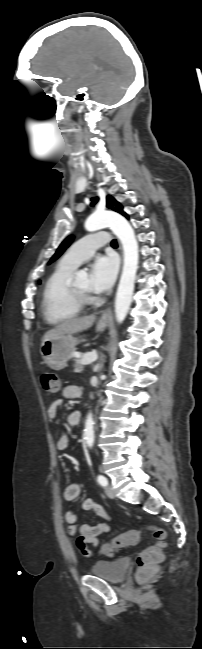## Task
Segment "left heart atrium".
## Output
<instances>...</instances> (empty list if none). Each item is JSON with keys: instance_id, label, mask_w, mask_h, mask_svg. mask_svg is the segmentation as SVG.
Segmentation results:
<instances>
[{"instance_id": "left-heart-atrium-1", "label": "left heart atrium", "mask_w": 202, "mask_h": 649, "mask_svg": "<svg viewBox=\"0 0 202 649\" xmlns=\"http://www.w3.org/2000/svg\"><path fill=\"white\" fill-rule=\"evenodd\" d=\"M117 271L118 263L113 256L96 258L89 274L90 290L97 293L108 291L115 282Z\"/></svg>"}]
</instances>
